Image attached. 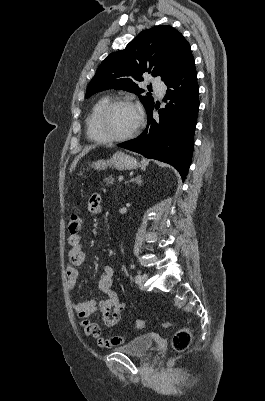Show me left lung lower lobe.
Returning <instances> with one entry per match:
<instances>
[{"label":"left lung lower lobe","instance_id":"obj_1","mask_svg":"<svg viewBox=\"0 0 265 401\" xmlns=\"http://www.w3.org/2000/svg\"><path fill=\"white\" fill-rule=\"evenodd\" d=\"M165 84V101L159 119H153L152 108L147 110L148 123L137 138L118 144L119 147L174 166L182 180L188 172L194 144V130L199 109V87L193 56L187 58L178 72Z\"/></svg>","mask_w":265,"mask_h":401}]
</instances>
